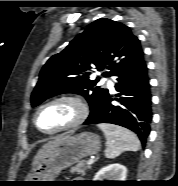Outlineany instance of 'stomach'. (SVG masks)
<instances>
[{
	"instance_id": "stomach-1",
	"label": "stomach",
	"mask_w": 178,
	"mask_h": 186,
	"mask_svg": "<svg viewBox=\"0 0 178 186\" xmlns=\"http://www.w3.org/2000/svg\"><path fill=\"white\" fill-rule=\"evenodd\" d=\"M101 142L98 135L82 132L66 135V138L54 147L37 163L27 175L26 181H54L65 168L79 162L82 158L100 151ZM31 185H46L48 182H31Z\"/></svg>"
}]
</instances>
